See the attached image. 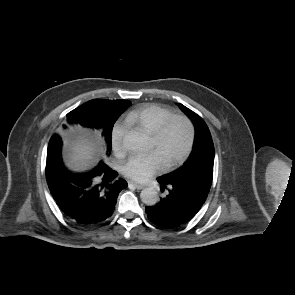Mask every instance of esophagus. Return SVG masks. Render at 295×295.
Instances as JSON below:
<instances>
[{
    "label": "esophagus",
    "mask_w": 295,
    "mask_h": 295,
    "mask_svg": "<svg viewBox=\"0 0 295 295\" xmlns=\"http://www.w3.org/2000/svg\"><path fill=\"white\" fill-rule=\"evenodd\" d=\"M130 184H132L136 189L140 190L144 188V185L138 184L136 182L131 181Z\"/></svg>",
    "instance_id": "34e87169"
}]
</instances>
